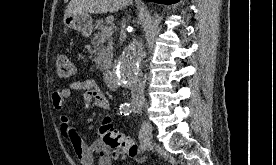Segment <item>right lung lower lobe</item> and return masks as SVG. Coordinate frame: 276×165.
<instances>
[{"mask_svg":"<svg viewBox=\"0 0 276 165\" xmlns=\"http://www.w3.org/2000/svg\"><path fill=\"white\" fill-rule=\"evenodd\" d=\"M147 1L163 3V4H172V3L177 2L178 0H147Z\"/></svg>","mask_w":276,"mask_h":165,"instance_id":"98d812e1","label":"right lung lower lobe"}]
</instances>
